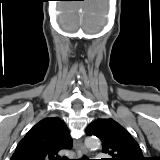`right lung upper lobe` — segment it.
<instances>
[{"label": "right lung upper lobe", "mask_w": 160, "mask_h": 160, "mask_svg": "<svg viewBox=\"0 0 160 160\" xmlns=\"http://www.w3.org/2000/svg\"><path fill=\"white\" fill-rule=\"evenodd\" d=\"M72 148L65 123L58 117L38 122L19 142L10 160H68L58 152Z\"/></svg>", "instance_id": "1"}]
</instances>
